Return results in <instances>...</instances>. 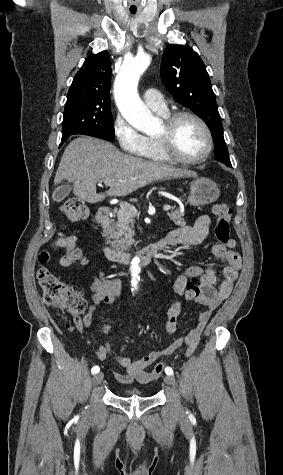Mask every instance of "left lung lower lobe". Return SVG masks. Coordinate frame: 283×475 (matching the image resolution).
I'll return each mask as SVG.
<instances>
[{
	"label": "left lung lower lobe",
	"mask_w": 283,
	"mask_h": 475,
	"mask_svg": "<svg viewBox=\"0 0 283 475\" xmlns=\"http://www.w3.org/2000/svg\"><path fill=\"white\" fill-rule=\"evenodd\" d=\"M213 140L215 143V157L218 161L226 164L231 167V162L228 155L227 146L224 141L223 134L213 135Z\"/></svg>",
	"instance_id": "0a47b994"
}]
</instances>
